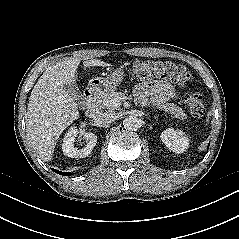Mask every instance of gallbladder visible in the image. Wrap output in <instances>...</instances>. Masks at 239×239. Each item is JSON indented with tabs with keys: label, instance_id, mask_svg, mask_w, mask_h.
I'll return each mask as SVG.
<instances>
[{
	"label": "gallbladder",
	"instance_id": "gallbladder-1",
	"mask_svg": "<svg viewBox=\"0 0 239 239\" xmlns=\"http://www.w3.org/2000/svg\"><path fill=\"white\" fill-rule=\"evenodd\" d=\"M68 95L77 103L78 106H84V99L79 87L76 83H71L65 86Z\"/></svg>",
	"mask_w": 239,
	"mask_h": 239
}]
</instances>
